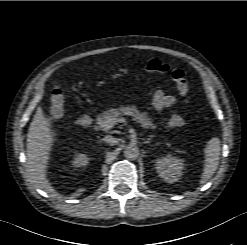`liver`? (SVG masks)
<instances>
[{"mask_svg": "<svg viewBox=\"0 0 247 245\" xmlns=\"http://www.w3.org/2000/svg\"><path fill=\"white\" fill-rule=\"evenodd\" d=\"M54 141L50 122L38 108L27 134V170L31 181L52 195L57 193L47 179V167Z\"/></svg>", "mask_w": 247, "mask_h": 245, "instance_id": "6515ba94", "label": "liver"}]
</instances>
